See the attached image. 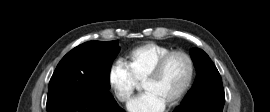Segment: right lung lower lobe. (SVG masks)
<instances>
[{
  "mask_svg": "<svg viewBox=\"0 0 270 112\" xmlns=\"http://www.w3.org/2000/svg\"><path fill=\"white\" fill-rule=\"evenodd\" d=\"M46 108L47 112H125L115 100L102 102L78 90L47 101Z\"/></svg>",
  "mask_w": 270,
  "mask_h": 112,
  "instance_id": "obj_1",
  "label": "right lung lower lobe"
}]
</instances>
